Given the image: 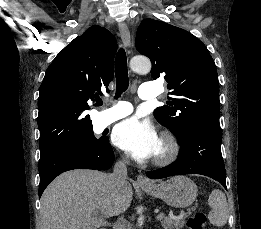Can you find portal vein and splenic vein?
Listing matches in <instances>:
<instances>
[{
  "label": "portal vein and splenic vein",
  "mask_w": 261,
  "mask_h": 229,
  "mask_svg": "<svg viewBox=\"0 0 261 229\" xmlns=\"http://www.w3.org/2000/svg\"><path fill=\"white\" fill-rule=\"evenodd\" d=\"M163 217H165V215H158V217L155 219L156 223H160L161 219H163ZM183 215H179V217H171V219H175V221H177V219H182ZM99 223H101V225H103V227H106V225H109V223H106V221H99Z\"/></svg>",
  "instance_id": "1"
}]
</instances>
